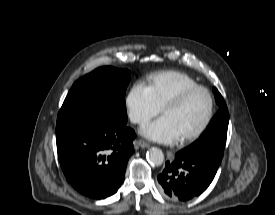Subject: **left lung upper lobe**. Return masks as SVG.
Returning <instances> with one entry per match:
<instances>
[{"label": "left lung upper lobe", "mask_w": 275, "mask_h": 215, "mask_svg": "<svg viewBox=\"0 0 275 215\" xmlns=\"http://www.w3.org/2000/svg\"><path fill=\"white\" fill-rule=\"evenodd\" d=\"M213 92L220 109L203 134L183 151L188 155L207 159L220 165L226 144L229 114L219 91L214 87Z\"/></svg>", "instance_id": "obj_1"}]
</instances>
